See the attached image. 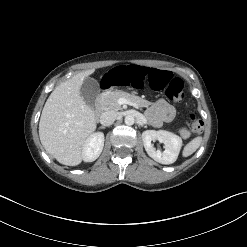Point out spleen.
<instances>
[{"label":"spleen","instance_id":"3e777b00","mask_svg":"<svg viewBox=\"0 0 247 247\" xmlns=\"http://www.w3.org/2000/svg\"><path fill=\"white\" fill-rule=\"evenodd\" d=\"M202 137H196L192 139L183 150V156L187 157L193 154L201 145Z\"/></svg>","mask_w":247,"mask_h":247}]
</instances>
